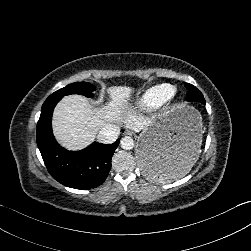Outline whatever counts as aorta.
Wrapping results in <instances>:
<instances>
[{"mask_svg": "<svg viewBox=\"0 0 251 251\" xmlns=\"http://www.w3.org/2000/svg\"><path fill=\"white\" fill-rule=\"evenodd\" d=\"M121 148L131 150L134 147V140L130 136H125L120 141Z\"/></svg>", "mask_w": 251, "mask_h": 251, "instance_id": "aorta-1", "label": "aorta"}]
</instances>
